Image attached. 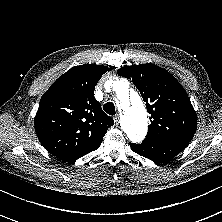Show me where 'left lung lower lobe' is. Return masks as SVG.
Returning <instances> with one entry per match:
<instances>
[{
	"mask_svg": "<svg viewBox=\"0 0 222 222\" xmlns=\"http://www.w3.org/2000/svg\"><path fill=\"white\" fill-rule=\"evenodd\" d=\"M131 149L154 162H165L179 154L187 144L180 142L143 141L141 144L129 143Z\"/></svg>",
	"mask_w": 222,
	"mask_h": 222,
	"instance_id": "0a47b994",
	"label": "left lung lower lobe"
}]
</instances>
